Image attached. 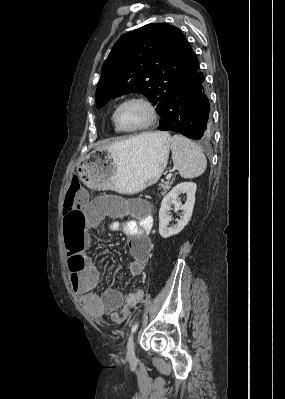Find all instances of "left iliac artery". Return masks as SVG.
I'll return each mask as SVG.
<instances>
[{
  "label": "left iliac artery",
  "mask_w": 285,
  "mask_h": 399,
  "mask_svg": "<svg viewBox=\"0 0 285 399\" xmlns=\"http://www.w3.org/2000/svg\"><path fill=\"white\" fill-rule=\"evenodd\" d=\"M138 325H139V322H136V323L132 326L131 333H133V332L136 331V329L138 328Z\"/></svg>",
  "instance_id": "1"
}]
</instances>
